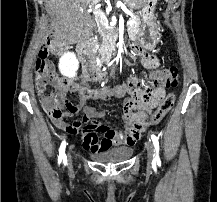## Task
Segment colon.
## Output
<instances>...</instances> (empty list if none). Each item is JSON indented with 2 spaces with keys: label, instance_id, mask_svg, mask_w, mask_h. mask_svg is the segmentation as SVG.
<instances>
[{
  "label": "colon",
  "instance_id": "1",
  "mask_svg": "<svg viewBox=\"0 0 217 202\" xmlns=\"http://www.w3.org/2000/svg\"><path fill=\"white\" fill-rule=\"evenodd\" d=\"M49 41H55V36H44V41L41 42L42 46H49ZM54 52H62V47H54ZM41 54H50V49H41ZM54 59H50L48 55H37V59H34L35 71L37 73L38 83L37 91L42 92L41 103H45V111L48 114V119H54L56 121L55 128H62L69 134H79L86 131H94L99 129V124L96 121H90L85 125H82V121L76 120L74 122L68 121V114L74 111V107L68 104L64 111H62L61 103H65L66 99L62 98V93L57 91H68V86L63 85V80H53L57 78L61 72L60 68H65V63H54ZM131 79H137V82H153V87L156 90H135L134 91V103L135 106L140 109L155 108L158 103V99H163L162 92L165 91V85L175 86L178 82V69L175 67H168L158 72H152L147 77L134 76ZM140 95V96H136ZM175 95L171 93L167 100L163 99V105L160 110H156L152 114L154 115L150 122V126L153 127L158 123L164 115L169 111L174 103ZM141 117L135 124L139 126ZM149 126V125H148ZM133 131V128L132 130ZM139 137V136H138Z\"/></svg>",
  "mask_w": 217,
  "mask_h": 202
}]
</instances>
